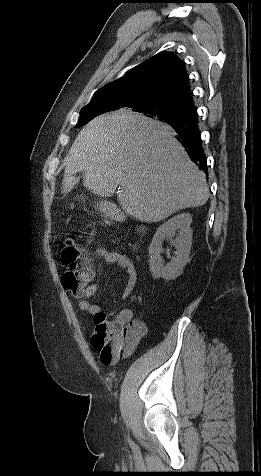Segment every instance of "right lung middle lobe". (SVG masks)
Wrapping results in <instances>:
<instances>
[{
	"instance_id": "right-lung-middle-lobe-1",
	"label": "right lung middle lobe",
	"mask_w": 261,
	"mask_h": 476,
	"mask_svg": "<svg viewBox=\"0 0 261 476\" xmlns=\"http://www.w3.org/2000/svg\"><path fill=\"white\" fill-rule=\"evenodd\" d=\"M118 97L116 96H106L98 98L94 101H91L86 105L80 112V118L76 127H81L89 122L94 117L119 109ZM123 111V110H120ZM147 116L155 117L159 120H162L166 123L173 122L181 119L184 116L185 111L175 108L169 105L160 104V103H147L142 106H139L132 110Z\"/></svg>"
}]
</instances>
